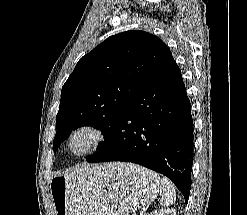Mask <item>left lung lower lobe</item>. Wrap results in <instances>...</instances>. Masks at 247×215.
Returning <instances> with one entry per match:
<instances>
[{
	"label": "left lung lower lobe",
	"mask_w": 247,
	"mask_h": 215,
	"mask_svg": "<svg viewBox=\"0 0 247 215\" xmlns=\"http://www.w3.org/2000/svg\"><path fill=\"white\" fill-rule=\"evenodd\" d=\"M132 162L167 176L188 202L193 120L181 71L169 51L138 90L89 163Z\"/></svg>",
	"instance_id": "obj_1"
}]
</instances>
